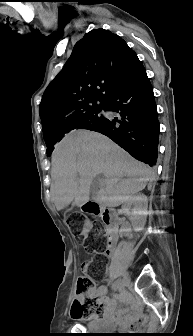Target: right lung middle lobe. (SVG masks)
Wrapping results in <instances>:
<instances>
[{"label": "right lung middle lobe", "instance_id": "dd1d6c3e", "mask_svg": "<svg viewBox=\"0 0 193 336\" xmlns=\"http://www.w3.org/2000/svg\"><path fill=\"white\" fill-rule=\"evenodd\" d=\"M104 110V108H100L97 109L93 112L88 113L87 115L81 117L80 119H78L74 125L71 127V129L66 132L69 133L72 130H77V129H87V130H91V131H97L98 129H101L102 127H104L107 118L104 117H100L98 115V113L101 110ZM66 133H64L63 135L60 136H55L52 137L48 140H46V145L48 146L47 148V155L50 156L51 152L54 149V145L57 143V141H59Z\"/></svg>", "mask_w": 193, "mask_h": 336}]
</instances>
